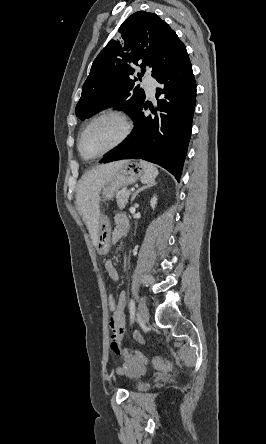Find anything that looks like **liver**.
Wrapping results in <instances>:
<instances>
[{
  "mask_svg": "<svg viewBox=\"0 0 266 444\" xmlns=\"http://www.w3.org/2000/svg\"><path fill=\"white\" fill-rule=\"evenodd\" d=\"M125 162L122 160L98 166L86 172L79 180L76 202L94 245L98 242L100 191Z\"/></svg>",
  "mask_w": 266,
  "mask_h": 444,
  "instance_id": "obj_1",
  "label": "liver"
}]
</instances>
